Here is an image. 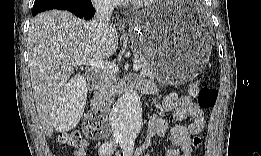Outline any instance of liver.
<instances>
[{
	"label": "liver",
	"mask_w": 261,
	"mask_h": 156,
	"mask_svg": "<svg viewBox=\"0 0 261 156\" xmlns=\"http://www.w3.org/2000/svg\"><path fill=\"white\" fill-rule=\"evenodd\" d=\"M90 23L60 10L45 11L30 22L28 53L31 84L47 137H51L54 128L64 132L75 127L83 113L84 97L72 93L73 118L65 120L61 116L63 101L68 99V80L74 72L71 63L85 58L102 59L117 50L115 26L109 25L104 36H96Z\"/></svg>",
	"instance_id": "obj_1"
}]
</instances>
